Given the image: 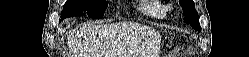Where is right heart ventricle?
Listing matches in <instances>:
<instances>
[{
	"instance_id": "right-heart-ventricle-1",
	"label": "right heart ventricle",
	"mask_w": 249,
	"mask_h": 57,
	"mask_svg": "<svg viewBox=\"0 0 249 57\" xmlns=\"http://www.w3.org/2000/svg\"><path fill=\"white\" fill-rule=\"evenodd\" d=\"M138 10L152 19H165L167 16V9L157 0L141 1Z\"/></svg>"
}]
</instances>
